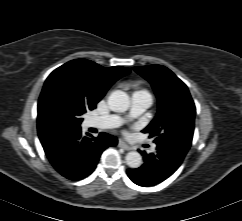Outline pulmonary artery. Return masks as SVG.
Returning a JSON list of instances; mask_svg holds the SVG:
<instances>
[{
	"instance_id": "1",
	"label": "pulmonary artery",
	"mask_w": 242,
	"mask_h": 221,
	"mask_svg": "<svg viewBox=\"0 0 242 221\" xmlns=\"http://www.w3.org/2000/svg\"><path fill=\"white\" fill-rule=\"evenodd\" d=\"M152 104V98L144 93H133L131 108L128 118H133L143 113ZM124 119L117 115L94 117L90 119L89 126L97 129H114L123 123ZM155 147H153L154 149Z\"/></svg>"
}]
</instances>
